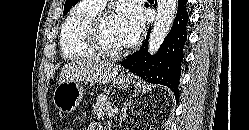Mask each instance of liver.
Segmentation results:
<instances>
[{"instance_id":"obj_1","label":"liver","mask_w":249,"mask_h":130,"mask_svg":"<svg viewBox=\"0 0 249 130\" xmlns=\"http://www.w3.org/2000/svg\"><path fill=\"white\" fill-rule=\"evenodd\" d=\"M122 70L121 66L98 59L67 63L61 70L59 84L66 81L108 83Z\"/></svg>"}]
</instances>
